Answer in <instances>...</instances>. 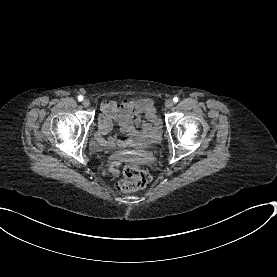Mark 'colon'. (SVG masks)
<instances>
[{
	"label": "colon",
	"mask_w": 277,
	"mask_h": 277,
	"mask_svg": "<svg viewBox=\"0 0 277 277\" xmlns=\"http://www.w3.org/2000/svg\"><path fill=\"white\" fill-rule=\"evenodd\" d=\"M120 174L123 179L116 183V188L121 192H133L142 188L151 189L157 183L155 174L132 163L122 165Z\"/></svg>",
	"instance_id": "obj_1"
}]
</instances>
